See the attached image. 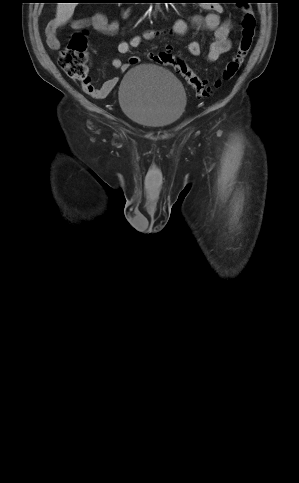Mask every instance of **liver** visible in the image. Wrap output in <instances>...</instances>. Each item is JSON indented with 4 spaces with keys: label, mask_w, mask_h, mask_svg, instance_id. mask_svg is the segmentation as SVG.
Returning a JSON list of instances; mask_svg holds the SVG:
<instances>
[{
    "label": "liver",
    "mask_w": 299,
    "mask_h": 483,
    "mask_svg": "<svg viewBox=\"0 0 299 483\" xmlns=\"http://www.w3.org/2000/svg\"><path fill=\"white\" fill-rule=\"evenodd\" d=\"M76 3H58L56 20L59 24H65L73 15Z\"/></svg>",
    "instance_id": "obj_1"
}]
</instances>
